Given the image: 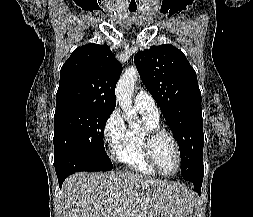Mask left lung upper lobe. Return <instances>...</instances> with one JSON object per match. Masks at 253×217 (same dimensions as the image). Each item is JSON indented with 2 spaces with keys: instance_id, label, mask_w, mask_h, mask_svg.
I'll use <instances>...</instances> for the list:
<instances>
[{
  "instance_id": "5c2ea615",
  "label": "left lung upper lobe",
  "mask_w": 253,
  "mask_h": 217,
  "mask_svg": "<svg viewBox=\"0 0 253 217\" xmlns=\"http://www.w3.org/2000/svg\"><path fill=\"white\" fill-rule=\"evenodd\" d=\"M134 62L147 90L159 105L179 145L181 175H203L201 92L196 72L184 53L170 44L138 52Z\"/></svg>"
}]
</instances>
